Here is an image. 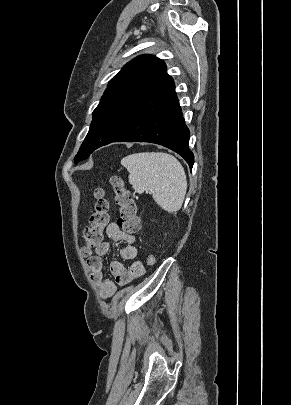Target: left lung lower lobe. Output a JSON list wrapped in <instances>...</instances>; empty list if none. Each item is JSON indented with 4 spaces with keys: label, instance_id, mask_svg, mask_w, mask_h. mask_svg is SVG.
Returning <instances> with one entry per match:
<instances>
[{
    "label": "left lung lower lobe",
    "instance_id": "1",
    "mask_svg": "<svg viewBox=\"0 0 291 405\" xmlns=\"http://www.w3.org/2000/svg\"><path fill=\"white\" fill-rule=\"evenodd\" d=\"M190 132L184 123L173 79L165 73L137 106L126 130L113 142H150L183 157L192 168Z\"/></svg>",
    "mask_w": 291,
    "mask_h": 405
}]
</instances>
